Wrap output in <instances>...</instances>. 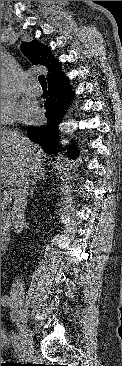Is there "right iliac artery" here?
Returning a JSON list of instances; mask_svg holds the SVG:
<instances>
[{"instance_id":"right-iliac-artery-1","label":"right iliac artery","mask_w":122,"mask_h":366,"mask_svg":"<svg viewBox=\"0 0 122 366\" xmlns=\"http://www.w3.org/2000/svg\"><path fill=\"white\" fill-rule=\"evenodd\" d=\"M1 305L5 306V307H7V306L10 305V298H9V296L5 295V296H3L1 298ZM22 344H23V342H22ZM22 348H23V346H22ZM22 348H20V350H19V355H21V356L24 357L25 356V353H24L25 350H23Z\"/></svg>"}]
</instances>
